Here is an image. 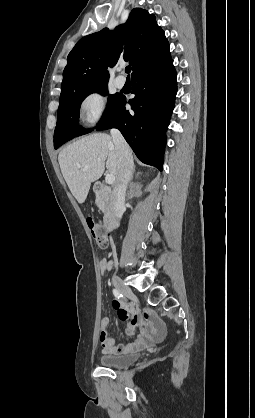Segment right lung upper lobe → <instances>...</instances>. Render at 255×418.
Wrapping results in <instances>:
<instances>
[{
	"instance_id": "right-lung-upper-lobe-1",
	"label": "right lung upper lobe",
	"mask_w": 255,
	"mask_h": 418,
	"mask_svg": "<svg viewBox=\"0 0 255 418\" xmlns=\"http://www.w3.org/2000/svg\"><path fill=\"white\" fill-rule=\"evenodd\" d=\"M170 56L169 43L155 16L134 8L126 23L80 39L67 57L61 93L109 79L107 68L122 57L132 66V77Z\"/></svg>"
}]
</instances>
